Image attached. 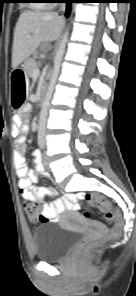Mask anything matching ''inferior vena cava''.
<instances>
[{
    "instance_id": "602c4592",
    "label": "inferior vena cava",
    "mask_w": 136,
    "mask_h": 296,
    "mask_svg": "<svg viewBox=\"0 0 136 296\" xmlns=\"http://www.w3.org/2000/svg\"><path fill=\"white\" fill-rule=\"evenodd\" d=\"M65 9V6H64V4L62 5V7H61V10H64Z\"/></svg>"
}]
</instances>
